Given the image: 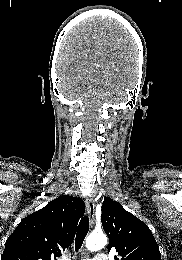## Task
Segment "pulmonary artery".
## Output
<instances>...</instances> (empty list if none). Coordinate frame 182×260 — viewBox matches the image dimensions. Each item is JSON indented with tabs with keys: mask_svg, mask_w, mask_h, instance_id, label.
Returning a JSON list of instances; mask_svg holds the SVG:
<instances>
[{
	"mask_svg": "<svg viewBox=\"0 0 182 260\" xmlns=\"http://www.w3.org/2000/svg\"><path fill=\"white\" fill-rule=\"evenodd\" d=\"M68 260V259H67ZM84 260H108L107 255L104 253H98L92 259H84Z\"/></svg>",
	"mask_w": 182,
	"mask_h": 260,
	"instance_id": "obj_1",
	"label": "pulmonary artery"
}]
</instances>
